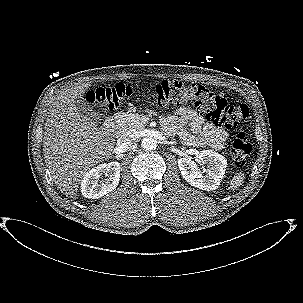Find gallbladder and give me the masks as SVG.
Returning <instances> with one entry per match:
<instances>
[{
	"mask_svg": "<svg viewBox=\"0 0 303 303\" xmlns=\"http://www.w3.org/2000/svg\"><path fill=\"white\" fill-rule=\"evenodd\" d=\"M75 105L77 110L84 116H87L94 122L101 121V114L95 112L93 108L89 105V102L84 97H79L75 100Z\"/></svg>",
	"mask_w": 303,
	"mask_h": 303,
	"instance_id": "1",
	"label": "gallbladder"
}]
</instances>
